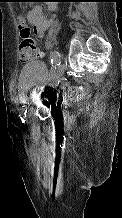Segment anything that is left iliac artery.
<instances>
[{
	"instance_id": "1",
	"label": "left iliac artery",
	"mask_w": 122,
	"mask_h": 218,
	"mask_svg": "<svg viewBox=\"0 0 122 218\" xmlns=\"http://www.w3.org/2000/svg\"><path fill=\"white\" fill-rule=\"evenodd\" d=\"M61 63V55L58 51L54 50L51 53V69L49 72V76L47 79V83H50V81L52 80L54 73L56 71L57 66H59ZM27 112V105H23L21 108V115H25Z\"/></svg>"
}]
</instances>
